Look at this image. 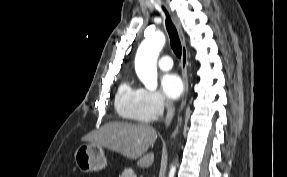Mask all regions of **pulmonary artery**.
<instances>
[{
    "instance_id": "pulmonary-artery-1",
    "label": "pulmonary artery",
    "mask_w": 287,
    "mask_h": 177,
    "mask_svg": "<svg viewBox=\"0 0 287 177\" xmlns=\"http://www.w3.org/2000/svg\"><path fill=\"white\" fill-rule=\"evenodd\" d=\"M158 65L163 70H169L172 67V58L169 55H164L158 60Z\"/></svg>"
}]
</instances>
